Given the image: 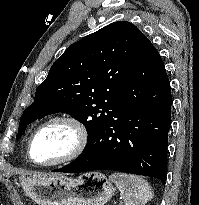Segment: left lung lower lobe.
<instances>
[{
    "mask_svg": "<svg viewBox=\"0 0 199 205\" xmlns=\"http://www.w3.org/2000/svg\"><path fill=\"white\" fill-rule=\"evenodd\" d=\"M171 105V87L164 63L144 37L93 144L79 160L58 171L114 170L164 182Z\"/></svg>",
    "mask_w": 199,
    "mask_h": 205,
    "instance_id": "0a47b994",
    "label": "left lung lower lobe"
}]
</instances>
